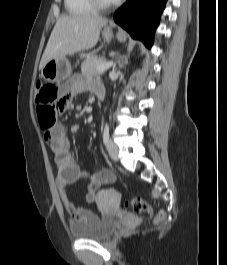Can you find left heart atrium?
Returning a JSON list of instances; mask_svg holds the SVG:
<instances>
[{
  "mask_svg": "<svg viewBox=\"0 0 227 265\" xmlns=\"http://www.w3.org/2000/svg\"><path fill=\"white\" fill-rule=\"evenodd\" d=\"M112 2H117V1H119V0H111Z\"/></svg>",
  "mask_w": 227,
  "mask_h": 265,
  "instance_id": "obj_1",
  "label": "left heart atrium"
}]
</instances>
